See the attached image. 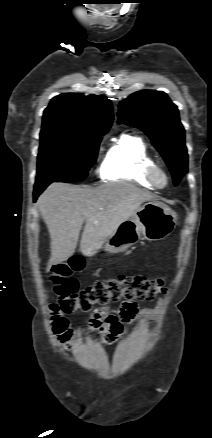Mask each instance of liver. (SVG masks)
<instances>
[{
	"label": "liver",
	"instance_id": "1",
	"mask_svg": "<svg viewBox=\"0 0 212 438\" xmlns=\"http://www.w3.org/2000/svg\"><path fill=\"white\" fill-rule=\"evenodd\" d=\"M157 199L155 194L128 183H109L96 188L51 184L38 199L51 239L47 271L73 255L84 222L80 250L91 257L141 204Z\"/></svg>",
	"mask_w": 212,
	"mask_h": 438
}]
</instances>
